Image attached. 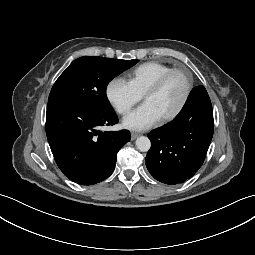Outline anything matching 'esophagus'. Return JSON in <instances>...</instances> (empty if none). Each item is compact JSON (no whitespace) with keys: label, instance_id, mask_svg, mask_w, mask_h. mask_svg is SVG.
I'll list each match as a JSON object with an SVG mask.
<instances>
[{"label":"esophagus","instance_id":"obj_1","mask_svg":"<svg viewBox=\"0 0 255 255\" xmlns=\"http://www.w3.org/2000/svg\"><path fill=\"white\" fill-rule=\"evenodd\" d=\"M139 136L138 133H131V140H135Z\"/></svg>","mask_w":255,"mask_h":255}]
</instances>
